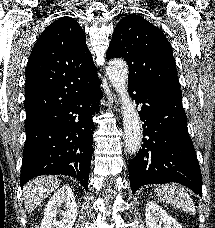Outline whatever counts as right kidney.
<instances>
[{
	"label": "right kidney",
	"instance_id": "1",
	"mask_svg": "<svg viewBox=\"0 0 215 228\" xmlns=\"http://www.w3.org/2000/svg\"><path fill=\"white\" fill-rule=\"evenodd\" d=\"M78 210L70 186H62L48 200L40 228H73Z\"/></svg>",
	"mask_w": 215,
	"mask_h": 228
}]
</instances>
